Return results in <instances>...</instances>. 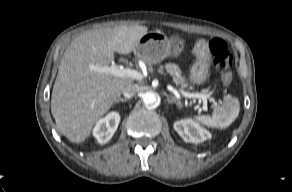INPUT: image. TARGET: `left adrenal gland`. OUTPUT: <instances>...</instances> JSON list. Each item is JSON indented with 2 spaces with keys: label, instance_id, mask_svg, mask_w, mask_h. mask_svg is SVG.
I'll list each match as a JSON object with an SVG mask.
<instances>
[{
  "label": "left adrenal gland",
  "instance_id": "1",
  "mask_svg": "<svg viewBox=\"0 0 292 192\" xmlns=\"http://www.w3.org/2000/svg\"><path fill=\"white\" fill-rule=\"evenodd\" d=\"M167 102L169 104H172V103L176 104L178 108L182 107V103L174 97L167 96Z\"/></svg>",
  "mask_w": 292,
  "mask_h": 192
}]
</instances>
